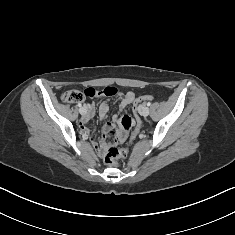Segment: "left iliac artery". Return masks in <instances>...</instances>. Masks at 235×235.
<instances>
[{
	"instance_id": "obj_1",
	"label": "left iliac artery",
	"mask_w": 235,
	"mask_h": 235,
	"mask_svg": "<svg viewBox=\"0 0 235 235\" xmlns=\"http://www.w3.org/2000/svg\"><path fill=\"white\" fill-rule=\"evenodd\" d=\"M150 105H151V103H150V102H148V103H147V106H150Z\"/></svg>"
}]
</instances>
